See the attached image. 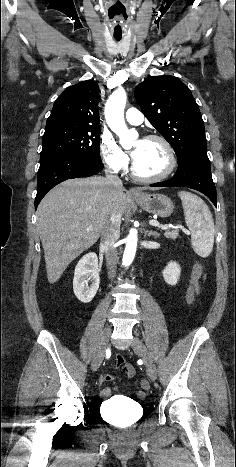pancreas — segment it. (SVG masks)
<instances>
[{
  "instance_id": "1",
  "label": "pancreas",
  "mask_w": 236,
  "mask_h": 467,
  "mask_svg": "<svg viewBox=\"0 0 236 467\" xmlns=\"http://www.w3.org/2000/svg\"><path fill=\"white\" fill-rule=\"evenodd\" d=\"M164 236L168 239L175 240L178 237L177 231H165Z\"/></svg>"
}]
</instances>
